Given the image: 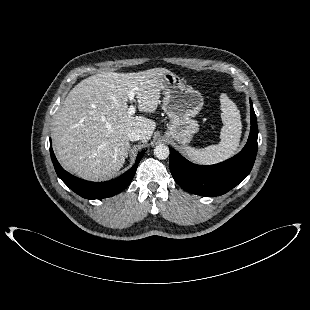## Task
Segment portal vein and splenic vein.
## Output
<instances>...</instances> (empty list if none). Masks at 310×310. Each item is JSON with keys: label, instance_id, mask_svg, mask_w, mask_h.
Wrapping results in <instances>:
<instances>
[{"label": "portal vein and splenic vein", "instance_id": "1", "mask_svg": "<svg viewBox=\"0 0 310 310\" xmlns=\"http://www.w3.org/2000/svg\"><path fill=\"white\" fill-rule=\"evenodd\" d=\"M134 97H135V92H134V89H133V90H131L128 93V98L131 101V103L135 100ZM135 112H136V108H135V106L133 104H131L130 107L128 108V114L129 115H134Z\"/></svg>", "mask_w": 310, "mask_h": 310}]
</instances>
